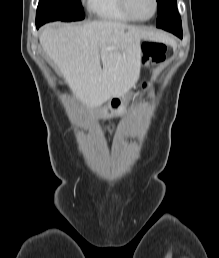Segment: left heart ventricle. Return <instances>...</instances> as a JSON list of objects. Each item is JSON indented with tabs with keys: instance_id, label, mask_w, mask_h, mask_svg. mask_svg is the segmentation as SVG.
I'll return each instance as SVG.
<instances>
[{
	"instance_id": "b2bd125f",
	"label": "left heart ventricle",
	"mask_w": 219,
	"mask_h": 258,
	"mask_svg": "<svg viewBox=\"0 0 219 258\" xmlns=\"http://www.w3.org/2000/svg\"><path fill=\"white\" fill-rule=\"evenodd\" d=\"M129 5L135 16L147 18L154 10L153 0H129Z\"/></svg>"
}]
</instances>
